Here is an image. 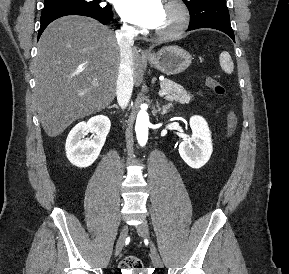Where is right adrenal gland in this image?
<instances>
[{
  "label": "right adrenal gland",
  "mask_w": 289,
  "mask_h": 274,
  "mask_svg": "<svg viewBox=\"0 0 289 274\" xmlns=\"http://www.w3.org/2000/svg\"><path fill=\"white\" fill-rule=\"evenodd\" d=\"M111 108H116V109H118L119 107H118L116 104H114V105H111V106L108 107V109H111Z\"/></svg>",
  "instance_id": "obj_1"
}]
</instances>
